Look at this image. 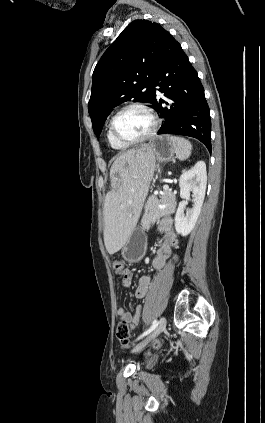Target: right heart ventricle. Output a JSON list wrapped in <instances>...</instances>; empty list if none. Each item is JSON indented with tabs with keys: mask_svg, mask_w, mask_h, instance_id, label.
I'll return each instance as SVG.
<instances>
[{
	"mask_svg": "<svg viewBox=\"0 0 265 423\" xmlns=\"http://www.w3.org/2000/svg\"><path fill=\"white\" fill-rule=\"evenodd\" d=\"M107 140H108V144L110 145V147L114 150L123 151L128 147V145H124V144L120 143L119 141H117L112 136L109 127H108V131H107Z\"/></svg>",
	"mask_w": 265,
	"mask_h": 423,
	"instance_id": "right-heart-ventricle-1",
	"label": "right heart ventricle"
}]
</instances>
